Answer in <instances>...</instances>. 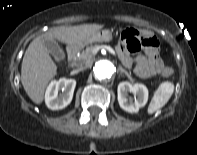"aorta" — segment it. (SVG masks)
I'll list each match as a JSON object with an SVG mask.
<instances>
[{"label":"aorta","mask_w":197,"mask_h":155,"mask_svg":"<svg viewBox=\"0 0 197 155\" xmlns=\"http://www.w3.org/2000/svg\"><path fill=\"white\" fill-rule=\"evenodd\" d=\"M94 74L99 80H107L113 77L116 72V67L110 60H98L94 64Z\"/></svg>","instance_id":"aorta-1"}]
</instances>
